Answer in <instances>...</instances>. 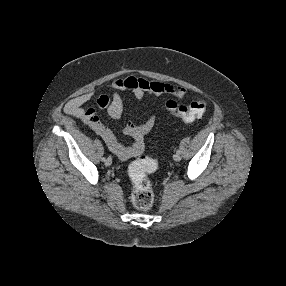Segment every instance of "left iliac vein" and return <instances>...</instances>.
<instances>
[{
	"mask_svg": "<svg viewBox=\"0 0 286 286\" xmlns=\"http://www.w3.org/2000/svg\"><path fill=\"white\" fill-rule=\"evenodd\" d=\"M173 159H174V161L178 162L181 160V155L179 153H175L173 155Z\"/></svg>",
	"mask_w": 286,
	"mask_h": 286,
	"instance_id": "left-iliac-vein-1",
	"label": "left iliac vein"
}]
</instances>
